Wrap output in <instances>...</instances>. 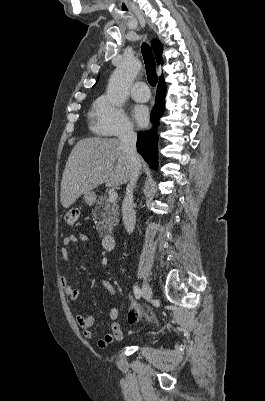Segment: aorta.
<instances>
[{"mask_svg":"<svg viewBox=\"0 0 265 401\" xmlns=\"http://www.w3.org/2000/svg\"><path fill=\"white\" fill-rule=\"evenodd\" d=\"M142 64L138 58L132 60H123L120 66L115 68L107 86V96L115 106H121L128 98L129 86L132 80L140 72Z\"/></svg>","mask_w":265,"mask_h":401,"instance_id":"obj_1","label":"aorta"}]
</instances>
